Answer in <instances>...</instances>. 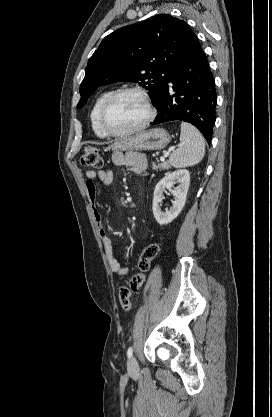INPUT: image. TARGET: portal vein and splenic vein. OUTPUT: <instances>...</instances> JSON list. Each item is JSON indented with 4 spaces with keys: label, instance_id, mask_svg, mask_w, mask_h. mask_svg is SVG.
Instances as JSON below:
<instances>
[{
    "label": "portal vein and splenic vein",
    "instance_id": "18ae733b",
    "mask_svg": "<svg viewBox=\"0 0 272 417\" xmlns=\"http://www.w3.org/2000/svg\"><path fill=\"white\" fill-rule=\"evenodd\" d=\"M160 161H165V156H161Z\"/></svg>",
    "mask_w": 272,
    "mask_h": 417
}]
</instances>
